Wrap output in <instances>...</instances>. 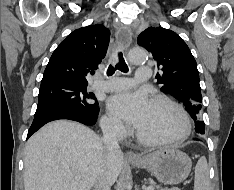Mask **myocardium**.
Here are the masks:
<instances>
[{
	"mask_svg": "<svg viewBox=\"0 0 234 190\" xmlns=\"http://www.w3.org/2000/svg\"><path fill=\"white\" fill-rule=\"evenodd\" d=\"M151 102H163L171 106L180 116L182 123H183V129L182 132L172 138H149L140 133L138 129H136L135 134L137 139L149 146H159V145H177L180 143H183L185 140L188 139V137L191 134V122L190 118L185 111V109L180 105L177 101H175L173 98L164 95V94H157L152 97Z\"/></svg>",
	"mask_w": 234,
	"mask_h": 190,
	"instance_id": "f54148a6",
	"label": "myocardium"
}]
</instances>
